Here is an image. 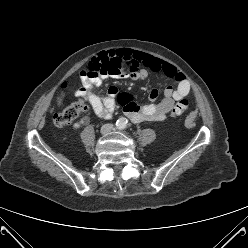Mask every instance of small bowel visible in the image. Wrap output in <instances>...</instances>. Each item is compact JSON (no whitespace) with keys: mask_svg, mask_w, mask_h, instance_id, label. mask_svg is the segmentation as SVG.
Segmentation results:
<instances>
[{"mask_svg":"<svg viewBox=\"0 0 248 248\" xmlns=\"http://www.w3.org/2000/svg\"><path fill=\"white\" fill-rule=\"evenodd\" d=\"M108 57L117 60L121 66L120 70L113 73H105L112 74L111 77H128L135 80H143L148 77V71H151L163 73L177 84L176 87L171 85L165 87L163 91L164 98L160 102L154 101L158 96L156 89L150 92V99L153 101L150 104L138 105L131 100L124 107V113L133 123L164 120L175 103L187 96L190 91V84L182 72L173 65L149 54L120 49L100 54L92 61L98 62ZM85 70L82 71L83 85L74 91L75 95L85 98L91 104L94 113L99 118H110L115 109V97L118 94V89L111 86L108 88L107 96L100 98L94 89L99 87L107 76L104 74L87 76Z\"/></svg>","mask_w":248,"mask_h":248,"instance_id":"c3829d8e","label":"small bowel"}]
</instances>
